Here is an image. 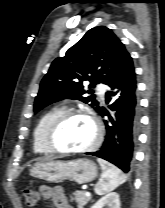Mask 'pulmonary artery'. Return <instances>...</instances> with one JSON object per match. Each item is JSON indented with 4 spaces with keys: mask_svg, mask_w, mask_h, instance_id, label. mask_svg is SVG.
I'll return each instance as SVG.
<instances>
[{
    "mask_svg": "<svg viewBox=\"0 0 165 208\" xmlns=\"http://www.w3.org/2000/svg\"><path fill=\"white\" fill-rule=\"evenodd\" d=\"M97 91H98V94L103 99L104 98V95H105V88H104V86L99 85L98 88H97Z\"/></svg>",
    "mask_w": 165,
    "mask_h": 208,
    "instance_id": "pulmonary-artery-1",
    "label": "pulmonary artery"
}]
</instances>
